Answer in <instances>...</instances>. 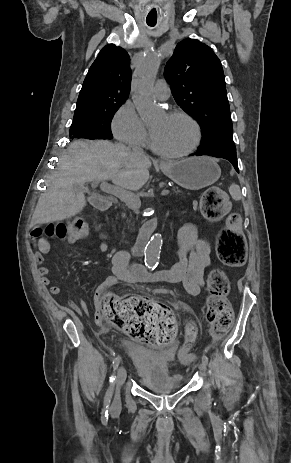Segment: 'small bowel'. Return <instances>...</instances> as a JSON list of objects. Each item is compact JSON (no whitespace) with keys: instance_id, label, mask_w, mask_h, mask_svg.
<instances>
[{"instance_id":"1","label":"small bowel","mask_w":291,"mask_h":463,"mask_svg":"<svg viewBox=\"0 0 291 463\" xmlns=\"http://www.w3.org/2000/svg\"><path fill=\"white\" fill-rule=\"evenodd\" d=\"M35 246L37 247L36 263L39 265V275L44 285L50 284L48 276L49 269L43 265L45 257L50 253L51 247L48 240L40 234L33 235ZM69 242L75 240L68 239ZM99 249L103 254H111L106 236L101 235ZM178 262L171 268L152 272L146 275V269L141 264H134L131 261V255L127 251H117L112 254V275L107 277L101 289L111 287L119 282H165V283H182L187 293L198 295L202 292L205 281L204 272L210 266V245L207 241L197 235V229L191 224L184 225L179 231V244L177 249ZM53 295L62 294L61 287L52 285L49 288ZM70 307L77 314L89 316L87 304L84 301L79 303L70 301ZM96 306H99V300L96 298ZM97 325L101 324L99 311L97 310L94 317Z\"/></svg>"}]
</instances>
